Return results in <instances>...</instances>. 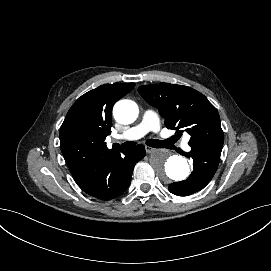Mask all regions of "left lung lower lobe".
I'll return each mask as SVG.
<instances>
[{
    "instance_id": "0a47b994",
    "label": "left lung lower lobe",
    "mask_w": 271,
    "mask_h": 271,
    "mask_svg": "<svg viewBox=\"0 0 271 271\" xmlns=\"http://www.w3.org/2000/svg\"><path fill=\"white\" fill-rule=\"evenodd\" d=\"M186 155L193 159L194 170L186 180L169 185V191L177 196H188L203 189L213 178L221 154H212L201 146L192 147Z\"/></svg>"
}]
</instances>
